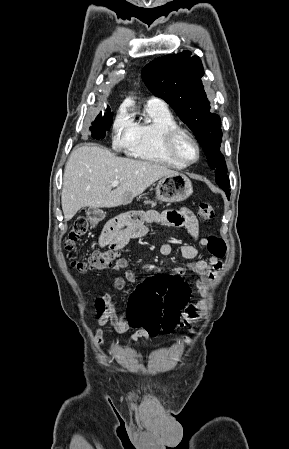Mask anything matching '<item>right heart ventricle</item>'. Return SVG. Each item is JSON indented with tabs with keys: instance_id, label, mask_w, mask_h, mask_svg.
<instances>
[{
	"instance_id": "right-heart-ventricle-1",
	"label": "right heart ventricle",
	"mask_w": 289,
	"mask_h": 449,
	"mask_svg": "<svg viewBox=\"0 0 289 449\" xmlns=\"http://www.w3.org/2000/svg\"><path fill=\"white\" fill-rule=\"evenodd\" d=\"M176 127L178 124L166 106L147 104L145 118L135 123V139L129 152L132 156L143 160L183 169L185 166L173 160L164 146L165 133Z\"/></svg>"
}]
</instances>
